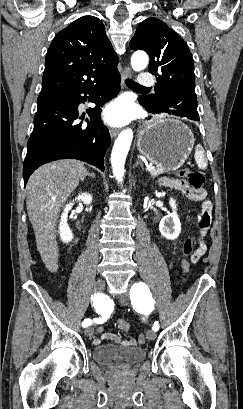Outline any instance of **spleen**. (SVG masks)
<instances>
[{
	"instance_id": "1",
	"label": "spleen",
	"mask_w": 243,
	"mask_h": 409,
	"mask_svg": "<svg viewBox=\"0 0 243 409\" xmlns=\"http://www.w3.org/2000/svg\"><path fill=\"white\" fill-rule=\"evenodd\" d=\"M194 157L198 167L205 170L207 167V159L205 157V151L201 145H197Z\"/></svg>"
}]
</instances>
